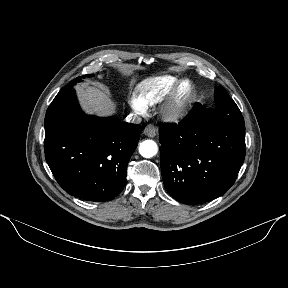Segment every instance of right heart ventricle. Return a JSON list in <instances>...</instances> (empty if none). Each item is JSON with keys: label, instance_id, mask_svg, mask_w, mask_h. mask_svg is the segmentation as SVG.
I'll use <instances>...</instances> for the list:
<instances>
[{"label": "right heart ventricle", "instance_id": "e07e8e85", "mask_svg": "<svg viewBox=\"0 0 288 288\" xmlns=\"http://www.w3.org/2000/svg\"><path fill=\"white\" fill-rule=\"evenodd\" d=\"M178 78L174 76H159L142 81L137 87V98L145 107H151L164 101Z\"/></svg>", "mask_w": 288, "mask_h": 288}]
</instances>
